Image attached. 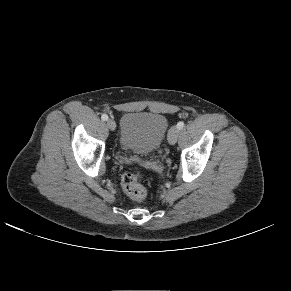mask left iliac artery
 <instances>
[{
  "instance_id": "44dca946",
  "label": "left iliac artery",
  "mask_w": 291,
  "mask_h": 291,
  "mask_svg": "<svg viewBox=\"0 0 291 291\" xmlns=\"http://www.w3.org/2000/svg\"><path fill=\"white\" fill-rule=\"evenodd\" d=\"M184 122L183 121H180V122H178L177 123V127H178V129H182L183 127H184Z\"/></svg>"
}]
</instances>
